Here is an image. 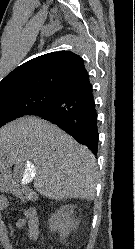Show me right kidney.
Wrapping results in <instances>:
<instances>
[{
    "instance_id": "ca27d5eb",
    "label": "right kidney",
    "mask_w": 135,
    "mask_h": 249,
    "mask_svg": "<svg viewBox=\"0 0 135 249\" xmlns=\"http://www.w3.org/2000/svg\"><path fill=\"white\" fill-rule=\"evenodd\" d=\"M72 214L73 208L71 206H63L49 219V229L53 232H58L63 238L67 237L75 227Z\"/></svg>"
}]
</instances>
